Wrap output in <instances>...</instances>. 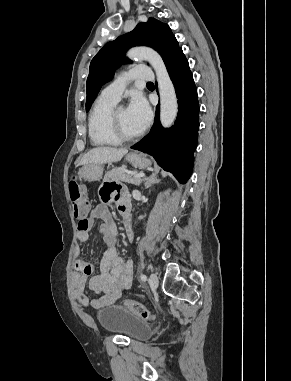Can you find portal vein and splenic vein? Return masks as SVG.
Masks as SVG:
<instances>
[{"label": "portal vein and splenic vein", "instance_id": "portal-vein-and-splenic-vein-1", "mask_svg": "<svg viewBox=\"0 0 291 381\" xmlns=\"http://www.w3.org/2000/svg\"><path fill=\"white\" fill-rule=\"evenodd\" d=\"M133 177L142 178V177H145V174L144 173H136Z\"/></svg>", "mask_w": 291, "mask_h": 381}]
</instances>
